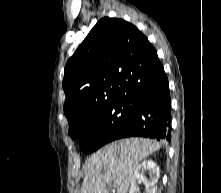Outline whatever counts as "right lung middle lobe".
<instances>
[{
    "instance_id": "right-lung-middle-lobe-1",
    "label": "right lung middle lobe",
    "mask_w": 221,
    "mask_h": 193,
    "mask_svg": "<svg viewBox=\"0 0 221 193\" xmlns=\"http://www.w3.org/2000/svg\"><path fill=\"white\" fill-rule=\"evenodd\" d=\"M135 111V99H123L110 103L107 107L77 120L69 134L80 137V147L85 153L97 150L110 142L113 136L127 125Z\"/></svg>"
}]
</instances>
